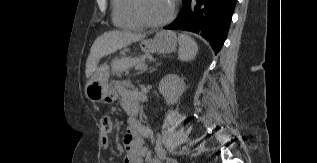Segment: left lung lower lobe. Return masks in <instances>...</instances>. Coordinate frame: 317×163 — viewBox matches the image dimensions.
<instances>
[{"mask_svg":"<svg viewBox=\"0 0 317 163\" xmlns=\"http://www.w3.org/2000/svg\"><path fill=\"white\" fill-rule=\"evenodd\" d=\"M237 0H182L183 7L165 29L195 32L207 39L215 53L225 41Z\"/></svg>","mask_w":317,"mask_h":163,"instance_id":"1","label":"left lung lower lobe"}]
</instances>
